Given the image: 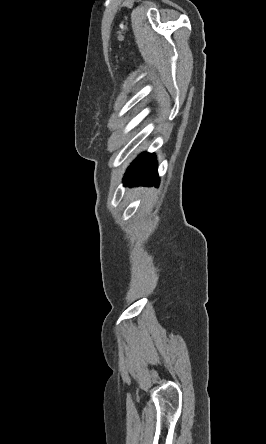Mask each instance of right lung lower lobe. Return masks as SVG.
Segmentation results:
<instances>
[{
  "instance_id": "98d812e1",
  "label": "right lung lower lobe",
  "mask_w": 266,
  "mask_h": 444,
  "mask_svg": "<svg viewBox=\"0 0 266 444\" xmlns=\"http://www.w3.org/2000/svg\"><path fill=\"white\" fill-rule=\"evenodd\" d=\"M123 182L125 186H158L157 161L155 154L142 153L128 167Z\"/></svg>"
}]
</instances>
